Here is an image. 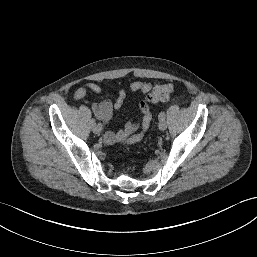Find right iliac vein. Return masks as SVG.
Wrapping results in <instances>:
<instances>
[{
	"instance_id": "right-iliac-vein-1",
	"label": "right iliac vein",
	"mask_w": 257,
	"mask_h": 257,
	"mask_svg": "<svg viewBox=\"0 0 257 257\" xmlns=\"http://www.w3.org/2000/svg\"><path fill=\"white\" fill-rule=\"evenodd\" d=\"M101 130H102V127H101V125H95V126H93V132L95 133V134H100L101 133Z\"/></svg>"
}]
</instances>
